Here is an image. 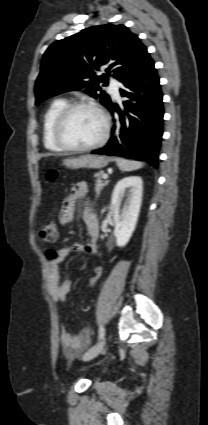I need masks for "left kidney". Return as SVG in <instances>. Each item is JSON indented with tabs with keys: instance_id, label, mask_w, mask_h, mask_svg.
I'll return each mask as SVG.
<instances>
[{
	"instance_id": "5707ae66",
	"label": "left kidney",
	"mask_w": 208,
	"mask_h": 425,
	"mask_svg": "<svg viewBox=\"0 0 208 425\" xmlns=\"http://www.w3.org/2000/svg\"><path fill=\"white\" fill-rule=\"evenodd\" d=\"M143 181L138 176L125 177L117 182L111 197V215L115 224L116 245L124 247L130 240L140 212ZM126 197L123 207L122 199Z\"/></svg>"
}]
</instances>
